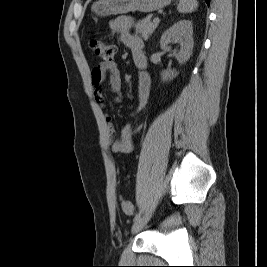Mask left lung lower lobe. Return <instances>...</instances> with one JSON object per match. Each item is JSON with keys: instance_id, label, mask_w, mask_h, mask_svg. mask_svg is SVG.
<instances>
[{"instance_id": "1", "label": "left lung lower lobe", "mask_w": 267, "mask_h": 267, "mask_svg": "<svg viewBox=\"0 0 267 267\" xmlns=\"http://www.w3.org/2000/svg\"><path fill=\"white\" fill-rule=\"evenodd\" d=\"M211 0H205V2L209 5Z\"/></svg>"}]
</instances>
